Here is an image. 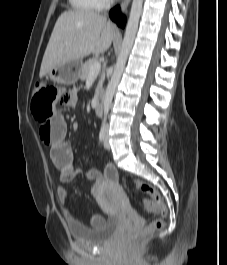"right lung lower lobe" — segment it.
Returning <instances> with one entry per match:
<instances>
[{"label":"right lung lower lobe","instance_id":"obj_1","mask_svg":"<svg viewBox=\"0 0 227 265\" xmlns=\"http://www.w3.org/2000/svg\"><path fill=\"white\" fill-rule=\"evenodd\" d=\"M110 17L112 20L117 22L119 26L124 27L125 17L120 14L119 6L115 7L113 10L110 11Z\"/></svg>","mask_w":227,"mask_h":265}]
</instances>
